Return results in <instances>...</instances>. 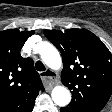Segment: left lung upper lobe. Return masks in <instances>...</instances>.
I'll return each mask as SVG.
<instances>
[{
  "mask_svg": "<svg viewBox=\"0 0 112 112\" xmlns=\"http://www.w3.org/2000/svg\"><path fill=\"white\" fill-rule=\"evenodd\" d=\"M61 52L62 83L71 90L68 107L100 112L112 93V55L102 41L86 29L45 30Z\"/></svg>",
  "mask_w": 112,
  "mask_h": 112,
  "instance_id": "1",
  "label": "left lung upper lobe"
}]
</instances>
